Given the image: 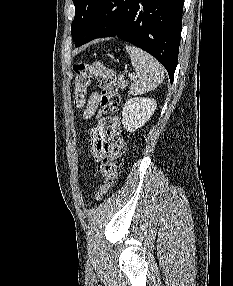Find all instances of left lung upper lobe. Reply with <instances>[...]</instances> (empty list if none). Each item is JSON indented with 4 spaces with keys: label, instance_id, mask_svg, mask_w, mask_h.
<instances>
[{
    "label": "left lung upper lobe",
    "instance_id": "obj_1",
    "mask_svg": "<svg viewBox=\"0 0 233 286\" xmlns=\"http://www.w3.org/2000/svg\"><path fill=\"white\" fill-rule=\"evenodd\" d=\"M101 1L102 0H73L75 5V17L71 25V35L74 42L86 28Z\"/></svg>",
    "mask_w": 233,
    "mask_h": 286
}]
</instances>
